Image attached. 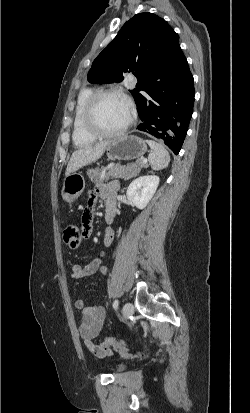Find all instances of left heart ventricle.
Wrapping results in <instances>:
<instances>
[{
	"instance_id": "obj_1",
	"label": "left heart ventricle",
	"mask_w": 250,
	"mask_h": 413,
	"mask_svg": "<svg viewBox=\"0 0 250 413\" xmlns=\"http://www.w3.org/2000/svg\"><path fill=\"white\" fill-rule=\"evenodd\" d=\"M130 117L131 113L121 98L105 97L98 103L96 121L104 131L121 129L129 122Z\"/></svg>"
}]
</instances>
